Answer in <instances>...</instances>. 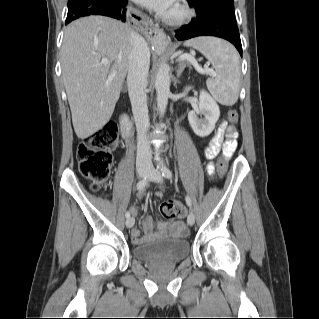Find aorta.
<instances>
[{"instance_id":"762f6f07","label":"aorta","mask_w":319,"mask_h":319,"mask_svg":"<svg viewBox=\"0 0 319 319\" xmlns=\"http://www.w3.org/2000/svg\"><path fill=\"white\" fill-rule=\"evenodd\" d=\"M169 66L167 64H162L157 72L155 87L157 92V107L160 112V115H164L168 98L170 95V75H169Z\"/></svg>"}]
</instances>
